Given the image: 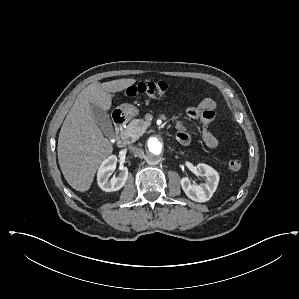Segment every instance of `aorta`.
Masks as SVG:
<instances>
[{
  "label": "aorta",
  "mask_w": 299,
  "mask_h": 299,
  "mask_svg": "<svg viewBox=\"0 0 299 299\" xmlns=\"http://www.w3.org/2000/svg\"><path fill=\"white\" fill-rule=\"evenodd\" d=\"M146 150L150 158L159 159L164 151L165 145L161 137L151 136L146 142Z\"/></svg>",
  "instance_id": "obj_1"
}]
</instances>
